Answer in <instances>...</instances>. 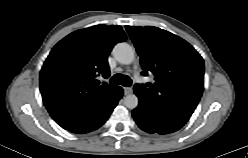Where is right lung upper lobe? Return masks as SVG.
Returning a JSON list of instances; mask_svg holds the SVG:
<instances>
[{"label": "right lung upper lobe", "mask_w": 248, "mask_h": 158, "mask_svg": "<svg viewBox=\"0 0 248 158\" xmlns=\"http://www.w3.org/2000/svg\"><path fill=\"white\" fill-rule=\"evenodd\" d=\"M126 39L121 26L96 25L77 30L54 46L40 72V92L55 121L90 111L115 90L99 85L96 77H109L107 57Z\"/></svg>", "instance_id": "cb5924a9"}]
</instances>
